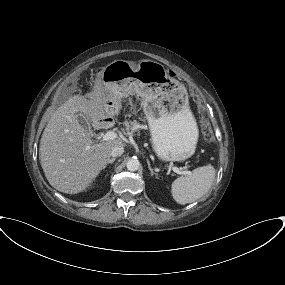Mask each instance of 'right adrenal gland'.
I'll return each mask as SVG.
<instances>
[{
  "mask_svg": "<svg viewBox=\"0 0 285 285\" xmlns=\"http://www.w3.org/2000/svg\"><path fill=\"white\" fill-rule=\"evenodd\" d=\"M115 161V158H111L108 163H110L111 165L113 164V162Z\"/></svg>",
  "mask_w": 285,
  "mask_h": 285,
  "instance_id": "2a0ac1e0",
  "label": "right adrenal gland"
}]
</instances>
